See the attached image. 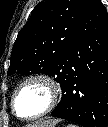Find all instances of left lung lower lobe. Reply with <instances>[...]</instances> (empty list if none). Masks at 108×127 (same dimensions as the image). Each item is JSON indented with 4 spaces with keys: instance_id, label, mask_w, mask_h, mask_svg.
Returning <instances> with one entry per match:
<instances>
[{
    "instance_id": "1",
    "label": "left lung lower lobe",
    "mask_w": 108,
    "mask_h": 127,
    "mask_svg": "<svg viewBox=\"0 0 108 127\" xmlns=\"http://www.w3.org/2000/svg\"><path fill=\"white\" fill-rule=\"evenodd\" d=\"M63 72L62 99L52 115L108 127V13L100 0H89Z\"/></svg>"
}]
</instances>
